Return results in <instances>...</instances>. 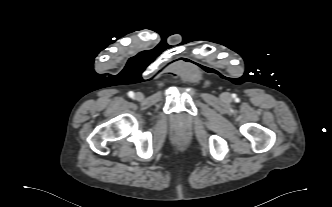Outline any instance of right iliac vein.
Segmentation results:
<instances>
[{"mask_svg":"<svg viewBox=\"0 0 332 207\" xmlns=\"http://www.w3.org/2000/svg\"><path fill=\"white\" fill-rule=\"evenodd\" d=\"M135 98L140 101L144 98V95L141 92H138L135 94Z\"/></svg>","mask_w":332,"mask_h":207,"instance_id":"obj_1","label":"right iliac vein"}]
</instances>
